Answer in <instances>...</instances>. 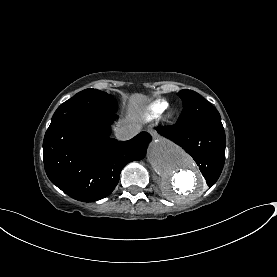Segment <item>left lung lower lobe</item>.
Instances as JSON below:
<instances>
[{
  "label": "left lung lower lobe",
  "mask_w": 277,
  "mask_h": 277,
  "mask_svg": "<svg viewBox=\"0 0 277 277\" xmlns=\"http://www.w3.org/2000/svg\"><path fill=\"white\" fill-rule=\"evenodd\" d=\"M156 130L193 157L209 187L218 180L225 162L226 146L221 120L158 126Z\"/></svg>",
  "instance_id": "0a47b994"
}]
</instances>
